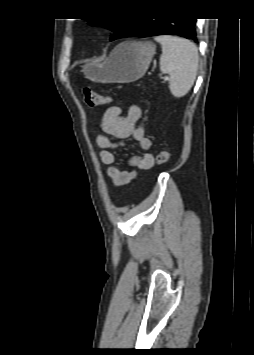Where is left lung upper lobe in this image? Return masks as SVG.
Here are the masks:
<instances>
[{"mask_svg": "<svg viewBox=\"0 0 254 355\" xmlns=\"http://www.w3.org/2000/svg\"><path fill=\"white\" fill-rule=\"evenodd\" d=\"M91 25L103 26L105 28L111 29L114 34L110 40H115L120 38L124 33H126L131 27L135 18H96L88 19Z\"/></svg>", "mask_w": 254, "mask_h": 355, "instance_id": "left-lung-upper-lobe-1", "label": "left lung upper lobe"}]
</instances>
